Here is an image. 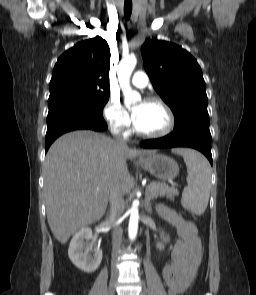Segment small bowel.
<instances>
[{
	"label": "small bowel",
	"mask_w": 256,
	"mask_h": 295,
	"mask_svg": "<svg viewBox=\"0 0 256 295\" xmlns=\"http://www.w3.org/2000/svg\"><path fill=\"white\" fill-rule=\"evenodd\" d=\"M158 213L162 220L174 226L180 240L174 245L171 261L161 271L169 295H180L190 285L201 259V243L195 225L185 220L177 212L167 207H160ZM162 242L169 240V235L162 230L159 235Z\"/></svg>",
	"instance_id": "c3829d8e"
}]
</instances>
